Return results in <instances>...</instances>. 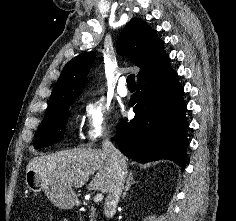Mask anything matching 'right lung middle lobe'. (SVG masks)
Returning a JSON list of instances; mask_svg holds the SVG:
<instances>
[{
    "mask_svg": "<svg viewBox=\"0 0 236 221\" xmlns=\"http://www.w3.org/2000/svg\"><path fill=\"white\" fill-rule=\"evenodd\" d=\"M74 100L65 102L57 108L47 111L34 141V147L36 149L52 145L62 140L68 120V110Z\"/></svg>",
    "mask_w": 236,
    "mask_h": 221,
    "instance_id": "obj_1",
    "label": "right lung middle lobe"
}]
</instances>
